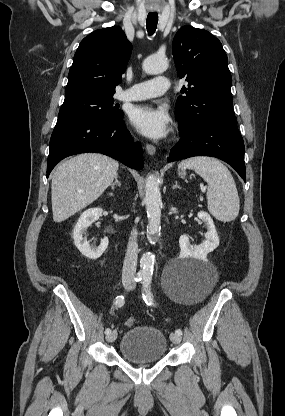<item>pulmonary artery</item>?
Segmentation results:
<instances>
[{
    "label": "pulmonary artery",
    "mask_w": 285,
    "mask_h": 416,
    "mask_svg": "<svg viewBox=\"0 0 285 416\" xmlns=\"http://www.w3.org/2000/svg\"><path fill=\"white\" fill-rule=\"evenodd\" d=\"M168 89V79L157 76L147 81L136 83L132 87L122 88L119 100L135 101L162 95Z\"/></svg>",
    "instance_id": "obj_1"
}]
</instances>
